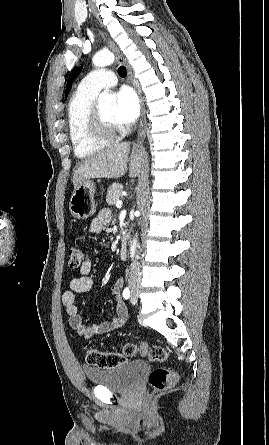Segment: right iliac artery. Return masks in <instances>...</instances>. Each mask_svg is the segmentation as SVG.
I'll return each instance as SVG.
<instances>
[{"label":"right iliac artery","mask_w":269,"mask_h":445,"mask_svg":"<svg viewBox=\"0 0 269 445\" xmlns=\"http://www.w3.org/2000/svg\"><path fill=\"white\" fill-rule=\"evenodd\" d=\"M123 297H124V299H128L130 297V290H129V288H125L123 290Z\"/></svg>","instance_id":"1"}]
</instances>
